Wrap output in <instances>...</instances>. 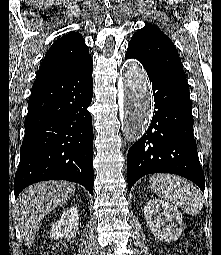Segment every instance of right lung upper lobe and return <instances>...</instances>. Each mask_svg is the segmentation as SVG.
<instances>
[{"instance_id":"1","label":"right lung upper lobe","mask_w":221,"mask_h":255,"mask_svg":"<svg viewBox=\"0 0 221 255\" xmlns=\"http://www.w3.org/2000/svg\"><path fill=\"white\" fill-rule=\"evenodd\" d=\"M91 58L82 35L71 32L56 40L47 51L35 83L46 81L77 68Z\"/></svg>"}]
</instances>
